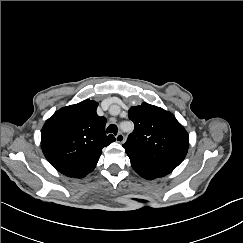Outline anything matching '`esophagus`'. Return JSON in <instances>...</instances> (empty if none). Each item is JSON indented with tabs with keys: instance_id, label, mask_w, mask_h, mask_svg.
<instances>
[{
	"instance_id": "obj_1",
	"label": "esophagus",
	"mask_w": 243,
	"mask_h": 243,
	"mask_svg": "<svg viewBox=\"0 0 243 243\" xmlns=\"http://www.w3.org/2000/svg\"><path fill=\"white\" fill-rule=\"evenodd\" d=\"M115 138H116V141H117L118 143H123L124 140H125V137H124V135H123L121 132L118 133V134L115 136Z\"/></svg>"
}]
</instances>
